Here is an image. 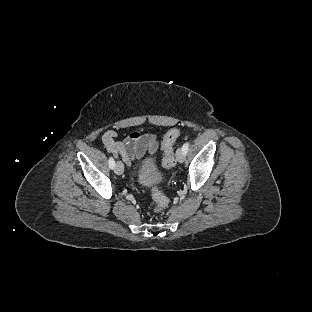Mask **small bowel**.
Returning a JSON list of instances; mask_svg holds the SVG:
<instances>
[{
  "label": "small bowel",
  "instance_id": "obj_1",
  "mask_svg": "<svg viewBox=\"0 0 312 312\" xmlns=\"http://www.w3.org/2000/svg\"><path fill=\"white\" fill-rule=\"evenodd\" d=\"M118 133L108 130L103 135V144L114 157H121L129 166L141 160L146 154L152 156L158 149V142L153 134L130 133L122 142H117Z\"/></svg>",
  "mask_w": 312,
  "mask_h": 312
}]
</instances>
